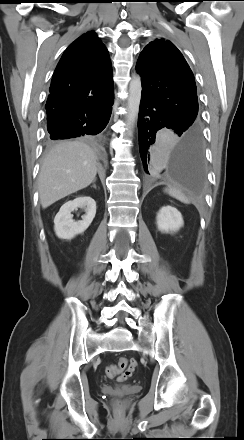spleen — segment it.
<instances>
[{"instance_id":"obj_1","label":"spleen","mask_w":244,"mask_h":440,"mask_svg":"<svg viewBox=\"0 0 244 440\" xmlns=\"http://www.w3.org/2000/svg\"><path fill=\"white\" fill-rule=\"evenodd\" d=\"M165 192L182 203L190 204V200L185 196V194L175 187H168L165 189Z\"/></svg>"}]
</instances>
